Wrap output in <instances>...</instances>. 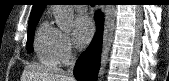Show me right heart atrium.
I'll use <instances>...</instances> for the list:
<instances>
[{
  "mask_svg": "<svg viewBox=\"0 0 169 81\" xmlns=\"http://www.w3.org/2000/svg\"><path fill=\"white\" fill-rule=\"evenodd\" d=\"M56 54L60 62H66L74 55V46L69 35L65 33H58L56 39Z\"/></svg>",
  "mask_w": 169,
  "mask_h": 81,
  "instance_id": "obj_1",
  "label": "right heart atrium"
}]
</instances>
